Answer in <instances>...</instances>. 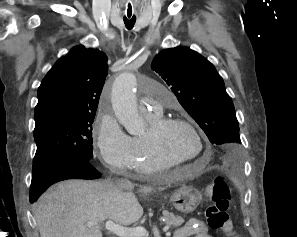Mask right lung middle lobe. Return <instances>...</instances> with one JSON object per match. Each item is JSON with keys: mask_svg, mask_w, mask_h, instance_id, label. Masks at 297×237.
I'll use <instances>...</instances> for the list:
<instances>
[{"mask_svg": "<svg viewBox=\"0 0 297 237\" xmlns=\"http://www.w3.org/2000/svg\"><path fill=\"white\" fill-rule=\"evenodd\" d=\"M95 114L86 116L56 115L36 123L34 139L37 151L33 174L39 175L50 161L61 157L93 158L92 123Z\"/></svg>", "mask_w": 297, "mask_h": 237, "instance_id": "dd1d6c3e", "label": "right lung middle lobe"}]
</instances>
